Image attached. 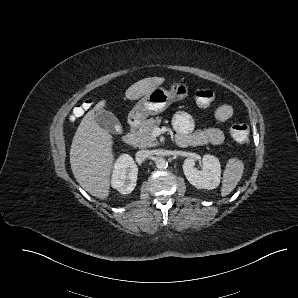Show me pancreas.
Returning <instances> with one entry per match:
<instances>
[{
  "instance_id": "1",
  "label": "pancreas",
  "mask_w": 298,
  "mask_h": 298,
  "mask_svg": "<svg viewBox=\"0 0 298 298\" xmlns=\"http://www.w3.org/2000/svg\"><path fill=\"white\" fill-rule=\"evenodd\" d=\"M161 118H149L140 124L136 130L133 146L136 148H150L158 145V139L153 135V129L157 124H160Z\"/></svg>"
}]
</instances>
